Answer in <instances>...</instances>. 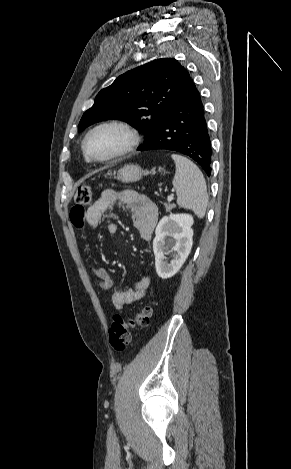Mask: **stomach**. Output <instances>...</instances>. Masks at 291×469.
Segmentation results:
<instances>
[{
	"label": "stomach",
	"mask_w": 291,
	"mask_h": 469,
	"mask_svg": "<svg viewBox=\"0 0 291 469\" xmlns=\"http://www.w3.org/2000/svg\"><path fill=\"white\" fill-rule=\"evenodd\" d=\"M145 173L140 166L129 164L118 171L117 179L124 183H132L140 180Z\"/></svg>",
	"instance_id": "obj_1"
}]
</instances>
